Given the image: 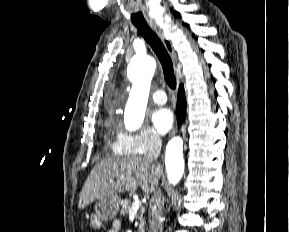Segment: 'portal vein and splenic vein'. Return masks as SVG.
Instances as JSON below:
<instances>
[{
  "label": "portal vein and splenic vein",
  "mask_w": 289,
  "mask_h": 232,
  "mask_svg": "<svg viewBox=\"0 0 289 232\" xmlns=\"http://www.w3.org/2000/svg\"><path fill=\"white\" fill-rule=\"evenodd\" d=\"M110 182L112 183L113 180H110ZM141 206V201L139 199H136L133 203H132V207L129 211V213H134L137 212V210L139 209V207Z\"/></svg>",
  "instance_id": "1"
}]
</instances>
